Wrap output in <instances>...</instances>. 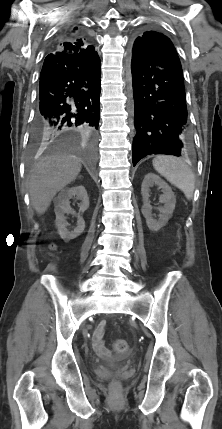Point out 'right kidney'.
<instances>
[{
	"label": "right kidney",
	"mask_w": 222,
	"mask_h": 429,
	"mask_svg": "<svg viewBox=\"0 0 222 429\" xmlns=\"http://www.w3.org/2000/svg\"><path fill=\"white\" fill-rule=\"evenodd\" d=\"M77 198L81 201L79 204V213L76 214L74 210L70 207V199ZM55 214H56V227L58 229L59 235L63 239H74L79 236L85 228V221L82 218V213L86 211L89 207V198L87 191L84 186H73L71 188L63 189L55 199ZM65 214L76 215L78 218L77 226L74 230L69 231L67 229V222Z\"/></svg>",
	"instance_id": "ca27d5eb"
}]
</instances>
